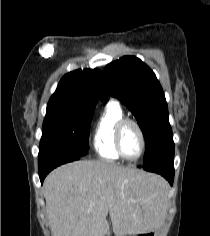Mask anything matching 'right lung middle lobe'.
Wrapping results in <instances>:
<instances>
[{
    "label": "right lung middle lobe",
    "mask_w": 210,
    "mask_h": 236,
    "mask_svg": "<svg viewBox=\"0 0 210 236\" xmlns=\"http://www.w3.org/2000/svg\"><path fill=\"white\" fill-rule=\"evenodd\" d=\"M93 109L47 106L42 127L39 156L65 154L82 157L88 153Z\"/></svg>",
    "instance_id": "dd1d6c3e"
}]
</instances>
